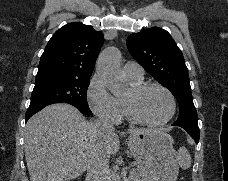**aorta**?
<instances>
[{"instance_id": "aorta-1", "label": "aorta", "mask_w": 228, "mask_h": 181, "mask_svg": "<svg viewBox=\"0 0 228 181\" xmlns=\"http://www.w3.org/2000/svg\"><path fill=\"white\" fill-rule=\"evenodd\" d=\"M121 53L115 47L104 49L97 62V74L114 95H119L126 87L120 71Z\"/></svg>"}]
</instances>
